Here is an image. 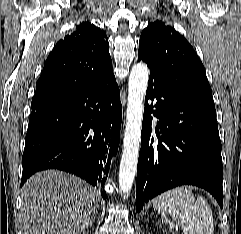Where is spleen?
<instances>
[{
	"mask_svg": "<svg viewBox=\"0 0 241 234\" xmlns=\"http://www.w3.org/2000/svg\"><path fill=\"white\" fill-rule=\"evenodd\" d=\"M154 209L162 216H169L180 223L184 234H213L212 210L203 197L195 201L194 194L187 187L168 190L153 201Z\"/></svg>",
	"mask_w": 241,
	"mask_h": 234,
	"instance_id": "3e777b00",
	"label": "spleen"
}]
</instances>
